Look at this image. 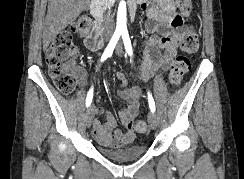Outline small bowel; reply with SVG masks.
Masks as SVG:
<instances>
[{"mask_svg": "<svg viewBox=\"0 0 244 179\" xmlns=\"http://www.w3.org/2000/svg\"><path fill=\"white\" fill-rule=\"evenodd\" d=\"M138 9L141 14L147 39L144 47V59L136 67L139 73L137 79L146 82L156 72L167 71L176 55L177 39L181 33V16L176 12L173 4L168 0H157L153 2L139 1ZM84 45L89 51H94L95 47L90 43L89 37L84 38ZM75 74L79 78L80 92L87 86L88 73L84 68L76 67ZM116 77L120 80L121 89L119 97L126 102V106L120 111L119 118L125 130L116 129V120L112 116H106L103 120L95 118L93 120V136L97 143L103 147H122L130 144L135 137L134 118L139 109V96L141 90L138 88H128L127 81L122 72H117ZM94 116H101L103 110L94 108Z\"/></svg>", "mask_w": 244, "mask_h": 179, "instance_id": "1", "label": "small bowel"}]
</instances>
